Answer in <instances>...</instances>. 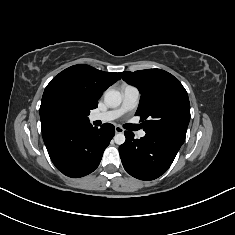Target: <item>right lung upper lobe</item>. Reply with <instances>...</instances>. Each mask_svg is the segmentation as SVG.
Masks as SVG:
<instances>
[{"instance_id":"cb5924a9","label":"right lung upper lobe","mask_w":235,"mask_h":235,"mask_svg":"<svg viewBox=\"0 0 235 235\" xmlns=\"http://www.w3.org/2000/svg\"><path fill=\"white\" fill-rule=\"evenodd\" d=\"M120 79L118 73H108L97 70L89 65L71 66L55 76L44 90L40 118L42 131L48 130L43 124L42 111L46 100L58 94L70 102L76 110L79 122H86L90 110L98 106L102 93Z\"/></svg>"}]
</instances>
